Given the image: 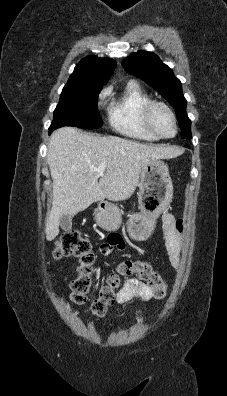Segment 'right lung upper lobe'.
I'll list each match as a JSON object with an SVG mask.
<instances>
[{"label": "right lung upper lobe", "instance_id": "cb5924a9", "mask_svg": "<svg viewBox=\"0 0 227 396\" xmlns=\"http://www.w3.org/2000/svg\"><path fill=\"white\" fill-rule=\"evenodd\" d=\"M116 66V62L108 58L88 56L75 67L67 84L98 85L106 84Z\"/></svg>", "mask_w": 227, "mask_h": 396}]
</instances>
